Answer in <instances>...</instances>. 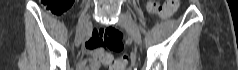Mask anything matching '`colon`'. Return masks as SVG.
I'll use <instances>...</instances> for the list:
<instances>
[{
	"instance_id": "obj_1",
	"label": "colon",
	"mask_w": 238,
	"mask_h": 70,
	"mask_svg": "<svg viewBox=\"0 0 238 70\" xmlns=\"http://www.w3.org/2000/svg\"><path fill=\"white\" fill-rule=\"evenodd\" d=\"M179 5L178 0H167L162 7L158 6L156 2H150L148 5L149 11L152 14H158L162 16H168L173 13ZM71 6V0H46L47 9L55 14H64ZM96 44L101 52L105 49L113 51H120L123 48L122 32L114 27H107L96 30L94 32ZM109 70H125L126 59H109L106 63Z\"/></svg>"
}]
</instances>
